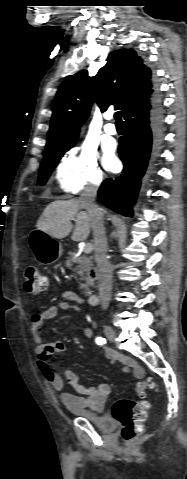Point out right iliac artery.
I'll use <instances>...</instances> for the list:
<instances>
[{
    "instance_id": "obj_1",
    "label": "right iliac artery",
    "mask_w": 187,
    "mask_h": 479,
    "mask_svg": "<svg viewBox=\"0 0 187 479\" xmlns=\"http://www.w3.org/2000/svg\"><path fill=\"white\" fill-rule=\"evenodd\" d=\"M95 342L98 344V345H103L106 343V339L105 338H102V337H97L95 339Z\"/></svg>"
}]
</instances>
